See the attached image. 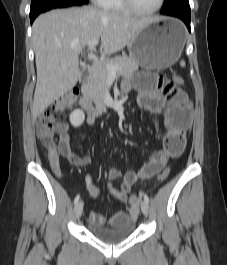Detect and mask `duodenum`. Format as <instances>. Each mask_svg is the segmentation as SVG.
<instances>
[{
	"instance_id": "duodenum-1",
	"label": "duodenum",
	"mask_w": 227,
	"mask_h": 265,
	"mask_svg": "<svg viewBox=\"0 0 227 265\" xmlns=\"http://www.w3.org/2000/svg\"><path fill=\"white\" fill-rule=\"evenodd\" d=\"M91 71H92L91 67H87L84 70L80 78V81L82 84H86L89 81ZM79 103L81 107L88 113V115L93 118L101 116L105 114L107 111L106 107L95 106L93 102L91 101V99L88 97V95L84 92H82V94L80 95Z\"/></svg>"
}]
</instances>
